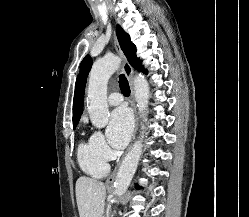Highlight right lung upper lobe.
Listing matches in <instances>:
<instances>
[{
    "mask_svg": "<svg viewBox=\"0 0 249 217\" xmlns=\"http://www.w3.org/2000/svg\"><path fill=\"white\" fill-rule=\"evenodd\" d=\"M83 94H84V86L80 77L78 76L75 84V93L73 101V125L78 124V121L82 115Z\"/></svg>",
    "mask_w": 249,
    "mask_h": 217,
    "instance_id": "1",
    "label": "right lung upper lobe"
}]
</instances>
